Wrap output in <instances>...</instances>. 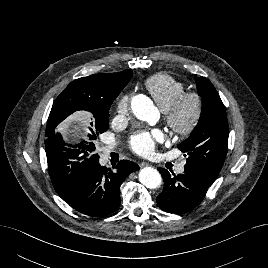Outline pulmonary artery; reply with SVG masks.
Returning a JSON list of instances; mask_svg holds the SVG:
<instances>
[{
    "label": "pulmonary artery",
    "mask_w": 268,
    "mask_h": 268,
    "mask_svg": "<svg viewBox=\"0 0 268 268\" xmlns=\"http://www.w3.org/2000/svg\"><path fill=\"white\" fill-rule=\"evenodd\" d=\"M114 143L108 145L106 148H105V152H109L113 147H114ZM185 170V164L184 163H179L175 166V171L176 173L178 174H182Z\"/></svg>",
    "instance_id": "obj_1"
}]
</instances>
